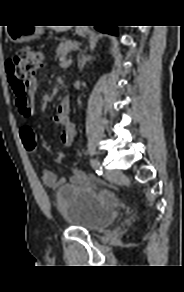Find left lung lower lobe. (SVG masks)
I'll return each instance as SVG.
<instances>
[{
    "label": "left lung lower lobe",
    "mask_w": 184,
    "mask_h": 292,
    "mask_svg": "<svg viewBox=\"0 0 184 292\" xmlns=\"http://www.w3.org/2000/svg\"><path fill=\"white\" fill-rule=\"evenodd\" d=\"M96 29L100 32H103V33L117 35V30H116L115 26L99 25V26H96Z\"/></svg>",
    "instance_id": "1"
}]
</instances>
